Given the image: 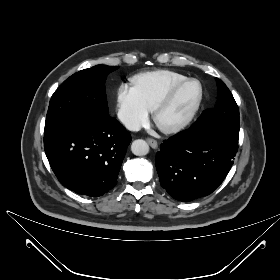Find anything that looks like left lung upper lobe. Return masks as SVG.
Returning <instances> with one entry per match:
<instances>
[{"mask_svg":"<svg viewBox=\"0 0 280 280\" xmlns=\"http://www.w3.org/2000/svg\"><path fill=\"white\" fill-rule=\"evenodd\" d=\"M218 83V101L213 109L205 110L191 127H207L239 139V109L230 90L224 82L216 78Z\"/></svg>","mask_w":280,"mask_h":280,"instance_id":"5c2ea615","label":"left lung upper lobe"}]
</instances>
